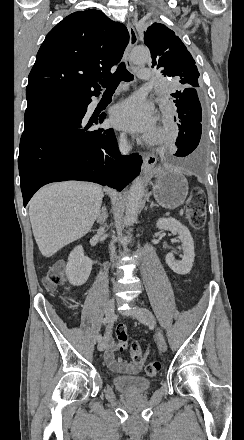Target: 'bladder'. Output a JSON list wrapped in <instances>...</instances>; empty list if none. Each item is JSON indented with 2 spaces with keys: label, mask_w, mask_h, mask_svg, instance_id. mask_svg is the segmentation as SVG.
<instances>
[{
  "label": "bladder",
  "mask_w": 244,
  "mask_h": 440,
  "mask_svg": "<svg viewBox=\"0 0 244 440\" xmlns=\"http://www.w3.org/2000/svg\"><path fill=\"white\" fill-rule=\"evenodd\" d=\"M112 382L116 390L124 392L126 395H137L147 393L152 386L150 379L144 377H114Z\"/></svg>",
  "instance_id": "bladder-1"
}]
</instances>
